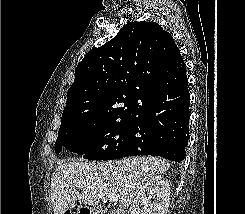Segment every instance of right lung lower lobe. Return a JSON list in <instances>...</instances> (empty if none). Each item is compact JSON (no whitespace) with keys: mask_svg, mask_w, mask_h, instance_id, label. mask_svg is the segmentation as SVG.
I'll return each instance as SVG.
<instances>
[{"mask_svg":"<svg viewBox=\"0 0 245 214\" xmlns=\"http://www.w3.org/2000/svg\"><path fill=\"white\" fill-rule=\"evenodd\" d=\"M189 104L188 79L155 90L136 109L127 143L115 159L152 155L181 162L189 139Z\"/></svg>","mask_w":245,"mask_h":214,"instance_id":"1","label":"right lung lower lobe"}]
</instances>
